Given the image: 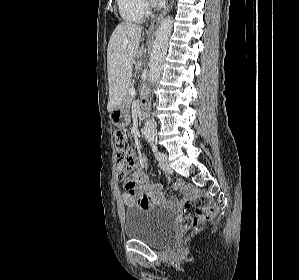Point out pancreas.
Here are the masks:
<instances>
[{"label": "pancreas", "instance_id": "1", "mask_svg": "<svg viewBox=\"0 0 299 280\" xmlns=\"http://www.w3.org/2000/svg\"><path fill=\"white\" fill-rule=\"evenodd\" d=\"M132 86H133V83L130 82L128 85V88L130 89ZM131 100H132V97L129 94H127V102L130 103Z\"/></svg>", "mask_w": 299, "mask_h": 280}]
</instances>
